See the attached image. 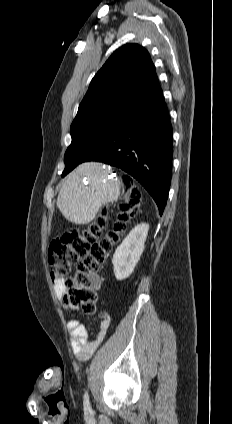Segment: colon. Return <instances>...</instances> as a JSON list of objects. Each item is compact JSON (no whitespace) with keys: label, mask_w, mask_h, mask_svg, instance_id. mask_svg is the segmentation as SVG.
I'll list each match as a JSON object with an SVG mask.
<instances>
[{"label":"colon","mask_w":232,"mask_h":424,"mask_svg":"<svg viewBox=\"0 0 232 424\" xmlns=\"http://www.w3.org/2000/svg\"><path fill=\"white\" fill-rule=\"evenodd\" d=\"M140 201L138 189L131 188L127 191L125 201L120 205L121 211L114 230L104 239L101 237L106 226V208L101 210L99 217L86 229L71 232L50 244L48 261L52 267V280L60 283L66 290L70 305L80 308L86 314L95 312L98 298L96 273L139 210ZM75 266L77 270L70 277Z\"/></svg>","instance_id":"colon-1"}]
</instances>
